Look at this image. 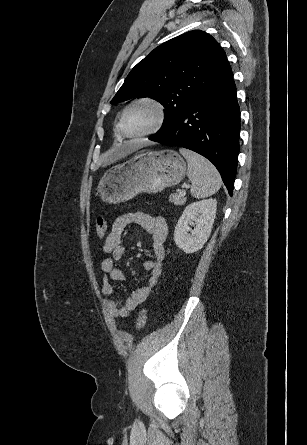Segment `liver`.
<instances>
[{
    "label": "liver",
    "mask_w": 307,
    "mask_h": 445,
    "mask_svg": "<svg viewBox=\"0 0 307 445\" xmlns=\"http://www.w3.org/2000/svg\"><path fill=\"white\" fill-rule=\"evenodd\" d=\"M103 162V166H107V164H111L114 160H117V154H110V152H105L101 158Z\"/></svg>",
    "instance_id": "obj_1"
}]
</instances>
